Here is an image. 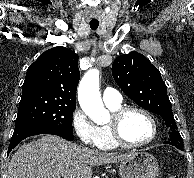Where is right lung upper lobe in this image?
Segmentation results:
<instances>
[{"label": "right lung upper lobe", "instance_id": "cb5924a9", "mask_svg": "<svg viewBox=\"0 0 194 178\" xmlns=\"http://www.w3.org/2000/svg\"><path fill=\"white\" fill-rule=\"evenodd\" d=\"M78 58L75 52L61 46L45 51L27 69L21 100L52 97L76 103Z\"/></svg>", "mask_w": 194, "mask_h": 178}]
</instances>
